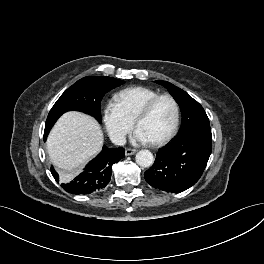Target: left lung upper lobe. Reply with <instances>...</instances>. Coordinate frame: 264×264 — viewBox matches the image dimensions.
Instances as JSON below:
<instances>
[{
  "mask_svg": "<svg viewBox=\"0 0 264 264\" xmlns=\"http://www.w3.org/2000/svg\"><path fill=\"white\" fill-rule=\"evenodd\" d=\"M168 89L179 104L182 114V126L178 136L186 135L201 127H210L209 119L203 107L188 93L167 81H156Z\"/></svg>",
  "mask_w": 264,
  "mask_h": 264,
  "instance_id": "1",
  "label": "left lung upper lobe"
}]
</instances>
